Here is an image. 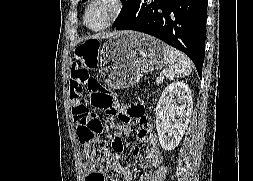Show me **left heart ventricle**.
I'll return each mask as SVG.
<instances>
[{"instance_id": "b2bd125f", "label": "left heart ventricle", "mask_w": 253, "mask_h": 181, "mask_svg": "<svg viewBox=\"0 0 253 181\" xmlns=\"http://www.w3.org/2000/svg\"><path fill=\"white\" fill-rule=\"evenodd\" d=\"M111 4L104 0L94 4L87 15V23L91 27H100L107 20L111 12Z\"/></svg>"}]
</instances>
